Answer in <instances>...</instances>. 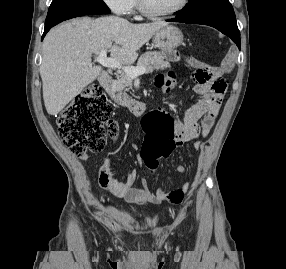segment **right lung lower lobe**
I'll use <instances>...</instances> for the list:
<instances>
[{
    "label": "right lung lower lobe",
    "mask_w": 286,
    "mask_h": 269,
    "mask_svg": "<svg viewBox=\"0 0 286 269\" xmlns=\"http://www.w3.org/2000/svg\"><path fill=\"white\" fill-rule=\"evenodd\" d=\"M52 27H53V26H51V27H45L44 33H43V36H42V40H43L44 36L47 34V32H48Z\"/></svg>",
    "instance_id": "right-lung-lower-lobe-1"
}]
</instances>
